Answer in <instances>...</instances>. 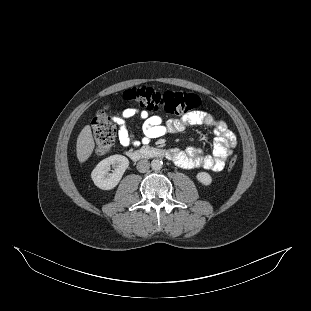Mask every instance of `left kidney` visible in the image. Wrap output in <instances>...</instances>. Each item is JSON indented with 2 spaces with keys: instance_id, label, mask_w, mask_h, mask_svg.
I'll list each match as a JSON object with an SVG mask.
<instances>
[{
  "instance_id": "5707ae66",
  "label": "left kidney",
  "mask_w": 311,
  "mask_h": 311,
  "mask_svg": "<svg viewBox=\"0 0 311 311\" xmlns=\"http://www.w3.org/2000/svg\"><path fill=\"white\" fill-rule=\"evenodd\" d=\"M198 179L204 184H209L211 182V177L207 173H199Z\"/></svg>"
}]
</instances>
